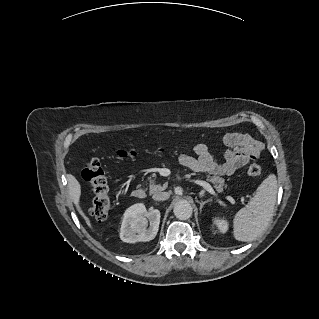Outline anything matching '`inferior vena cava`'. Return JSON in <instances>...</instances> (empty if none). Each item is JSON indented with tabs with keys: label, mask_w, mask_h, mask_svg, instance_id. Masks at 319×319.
I'll return each instance as SVG.
<instances>
[{
	"label": "inferior vena cava",
	"mask_w": 319,
	"mask_h": 319,
	"mask_svg": "<svg viewBox=\"0 0 319 319\" xmlns=\"http://www.w3.org/2000/svg\"><path fill=\"white\" fill-rule=\"evenodd\" d=\"M170 197V194L168 192H157L155 193L152 198L155 201H164L167 200Z\"/></svg>",
	"instance_id": "602c4592"
}]
</instances>
